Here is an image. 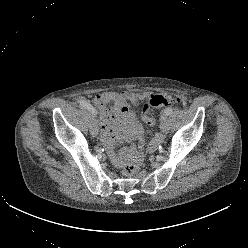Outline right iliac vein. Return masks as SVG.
<instances>
[{
  "instance_id": "63e3f726",
  "label": "right iliac vein",
  "mask_w": 248,
  "mask_h": 248,
  "mask_svg": "<svg viewBox=\"0 0 248 248\" xmlns=\"http://www.w3.org/2000/svg\"><path fill=\"white\" fill-rule=\"evenodd\" d=\"M90 132L93 137H96L98 135V121L96 119V113H92V118L90 122Z\"/></svg>"
}]
</instances>
